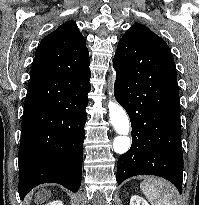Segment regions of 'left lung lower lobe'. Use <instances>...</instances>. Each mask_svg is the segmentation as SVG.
<instances>
[{
  "mask_svg": "<svg viewBox=\"0 0 199 205\" xmlns=\"http://www.w3.org/2000/svg\"><path fill=\"white\" fill-rule=\"evenodd\" d=\"M116 100L127 111L132 145L118 158L117 182L156 175L182 192L180 100L175 63L159 46L136 32L120 39L113 59Z\"/></svg>",
  "mask_w": 199,
  "mask_h": 205,
  "instance_id": "left-lung-lower-lobe-1",
  "label": "left lung lower lobe"
}]
</instances>
